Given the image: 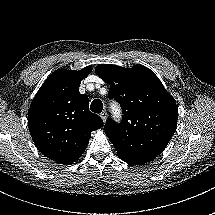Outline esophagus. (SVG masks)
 <instances>
[{"mask_svg": "<svg viewBox=\"0 0 215 215\" xmlns=\"http://www.w3.org/2000/svg\"><path fill=\"white\" fill-rule=\"evenodd\" d=\"M100 117L102 118L103 122H106L107 119V111H102V113H100Z\"/></svg>", "mask_w": 215, "mask_h": 215, "instance_id": "1", "label": "esophagus"}]
</instances>
